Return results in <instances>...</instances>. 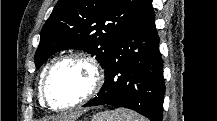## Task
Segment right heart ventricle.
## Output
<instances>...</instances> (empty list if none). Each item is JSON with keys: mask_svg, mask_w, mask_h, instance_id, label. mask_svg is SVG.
Segmentation results:
<instances>
[{"mask_svg": "<svg viewBox=\"0 0 217 121\" xmlns=\"http://www.w3.org/2000/svg\"><path fill=\"white\" fill-rule=\"evenodd\" d=\"M40 101H42V97H40Z\"/></svg>", "mask_w": 217, "mask_h": 121, "instance_id": "obj_1", "label": "right heart ventricle"}]
</instances>
